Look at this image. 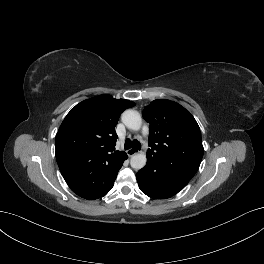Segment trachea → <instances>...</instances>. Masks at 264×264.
<instances>
[{
    "mask_svg": "<svg viewBox=\"0 0 264 264\" xmlns=\"http://www.w3.org/2000/svg\"><path fill=\"white\" fill-rule=\"evenodd\" d=\"M131 147L140 150L141 149V144L137 140L131 141L130 139H126L124 148L125 150L130 149Z\"/></svg>",
    "mask_w": 264,
    "mask_h": 264,
    "instance_id": "obj_1",
    "label": "trachea"
}]
</instances>
